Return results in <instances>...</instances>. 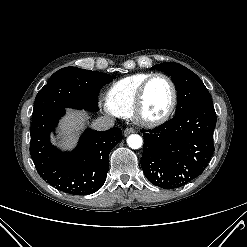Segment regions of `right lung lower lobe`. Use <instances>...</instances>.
Instances as JSON below:
<instances>
[{"label":"right lung lower lobe","mask_w":247,"mask_h":247,"mask_svg":"<svg viewBox=\"0 0 247 247\" xmlns=\"http://www.w3.org/2000/svg\"><path fill=\"white\" fill-rule=\"evenodd\" d=\"M66 107H55L33 115L30 153L40 176L58 190L87 195L106 180L109 153L122 140L121 129H87L72 152H61L50 142L51 132Z\"/></svg>","instance_id":"right-lung-lower-lobe-1"}]
</instances>
